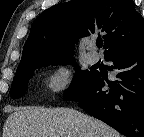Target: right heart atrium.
<instances>
[{
    "label": "right heart atrium",
    "instance_id": "1",
    "mask_svg": "<svg viewBox=\"0 0 144 137\" xmlns=\"http://www.w3.org/2000/svg\"><path fill=\"white\" fill-rule=\"evenodd\" d=\"M70 80V69L66 64L56 66L46 83V91L51 95L64 91Z\"/></svg>",
    "mask_w": 144,
    "mask_h": 137
}]
</instances>
